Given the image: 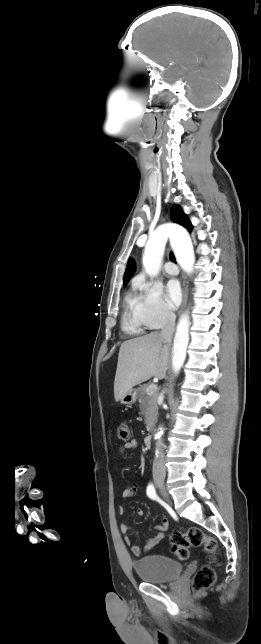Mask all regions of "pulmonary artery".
Masks as SVG:
<instances>
[{
	"mask_svg": "<svg viewBox=\"0 0 261 644\" xmlns=\"http://www.w3.org/2000/svg\"><path fill=\"white\" fill-rule=\"evenodd\" d=\"M164 270L169 275H177L179 272L178 267L172 262H167L164 266Z\"/></svg>",
	"mask_w": 261,
	"mask_h": 644,
	"instance_id": "e3ab8cb5",
	"label": "pulmonary artery"
}]
</instances>
